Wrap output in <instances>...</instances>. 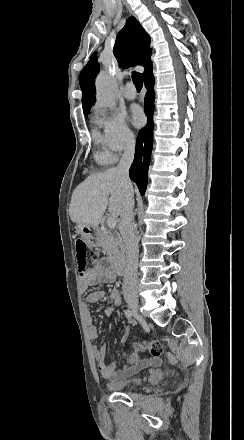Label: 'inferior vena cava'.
<instances>
[{
	"instance_id": "602c4592",
	"label": "inferior vena cava",
	"mask_w": 244,
	"mask_h": 440,
	"mask_svg": "<svg viewBox=\"0 0 244 440\" xmlns=\"http://www.w3.org/2000/svg\"><path fill=\"white\" fill-rule=\"evenodd\" d=\"M135 140H131L125 150L116 170L121 180L122 188L126 194L121 210L120 232L125 246V272L123 278V296L137 294V270H138V240L134 236V196L131 180L129 178V168L134 160Z\"/></svg>"
}]
</instances>
